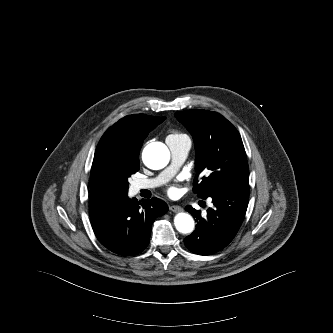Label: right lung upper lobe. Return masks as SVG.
Instances as JSON below:
<instances>
[{
	"label": "right lung upper lobe",
	"instance_id": "obj_1",
	"mask_svg": "<svg viewBox=\"0 0 333 333\" xmlns=\"http://www.w3.org/2000/svg\"><path fill=\"white\" fill-rule=\"evenodd\" d=\"M165 117L129 115L112 125L100 139L91 168V201L117 199L122 193V165L138 158L148 133Z\"/></svg>",
	"mask_w": 333,
	"mask_h": 333
}]
</instances>
